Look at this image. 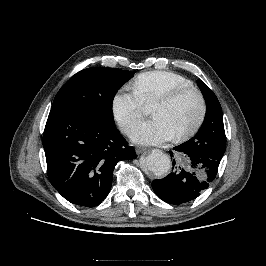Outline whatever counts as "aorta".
<instances>
[{
	"label": "aorta",
	"instance_id": "762f6f07",
	"mask_svg": "<svg viewBox=\"0 0 266 266\" xmlns=\"http://www.w3.org/2000/svg\"><path fill=\"white\" fill-rule=\"evenodd\" d=\"M145 163L147 168L156 176L165 175L171 166L169 156L159 149L152 150L146 157Z\"/></svg>",
	"mask_w": 266,
	"mask_h": 266
}]
</instances>
